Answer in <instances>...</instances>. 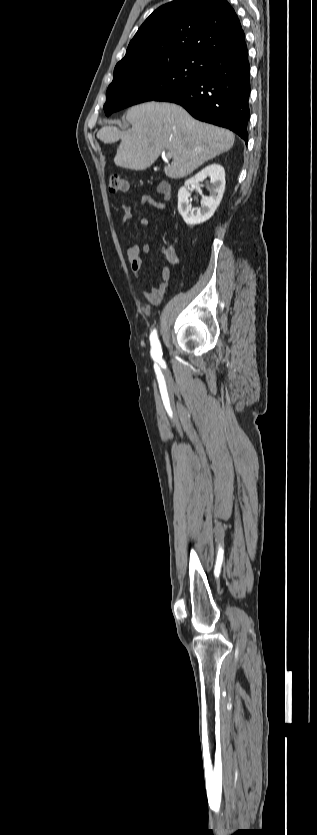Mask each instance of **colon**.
I'll use <instances>...</instances> for the list:
<instances>
[{"instance_id":"colon-1","label":"colon","mask_w":317,"mask_h":835,"mask_svg":"<svg viewBox=\"0 0 317 835\" xmlns=\"http://www.w3.org/2000/svg\"><path fill=\"white\" fill-rule=\"evenodd\" d=\"M109 190L112 193L127 192L129 190V183L122 175L114 174L110 178Z\"/></svg>"}]
</instances>
